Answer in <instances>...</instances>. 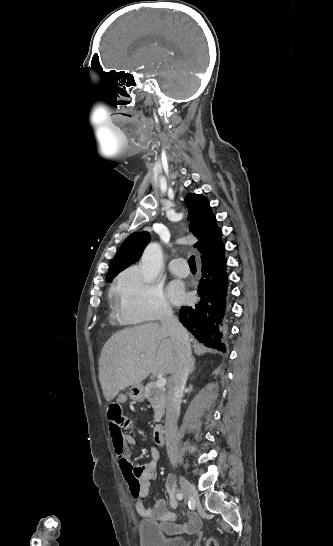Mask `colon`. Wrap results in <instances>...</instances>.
Here are the masks:
<instances>
[{
  "instance_id": "5ec220e1",
  "label": "colon",
  "mask_w": 333,
  "mask_h": 546,
  "mask_svg": "<svg viewBox=\"0 0 333 546\" xmlns=\"http://www.w3.org/2000/svg\"><path fill=\"white\" fill-rule=\"evenodd\" d=\"M106 414L108 418H123L125 411L121 400H110L106 406Z\"/></svg>"
}]
</instances>
